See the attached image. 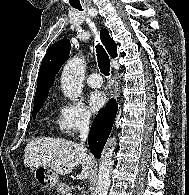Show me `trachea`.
Instances as JSON below:
<instances>
[{"label": "trachea", "instance_id": "obj_1", "mask_svg": "<svg viewBox=\"0 0 189 195\" xmlns=\"http://www.w3.org/2000/svg\"><path fill=\"white\" fill-rule=\"evenodd\" d=\"M78 10H82L78 8ZM96 53H97V61L100 71L105 75H110V59L106 51L101 45L96 46Z\"/></svg>", "mask_w": 189, "mask_h": 195}]
</instances>
